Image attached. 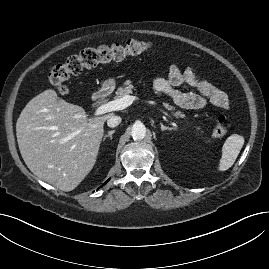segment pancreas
Returning a JSON list of instances; mask_svg holds the SVG:
<instances>
[{"mask_svg":"<svg viewBox=\"0 0 269 269\" xmlns=\"http://www.w3.org/2000/svg\"><path fill=\"white\" fill-rule=\"evenodd\" d=\"M134 90V86L132 85L131 81L127 80L126 82H124V85L119 87L117 92H116V97L117 98H122L125 95H129L132 94ZM164 107L168 110H170L173 114V116H175L176 118H185V114L181 111H175V107L170 105L169 103H163ZM200 127H196V130H199ZM203 133V131L201 132Z\"/></svg>","mask_w":269,"mask_h":269,"instance_id":"obj_1","label":"pancreas"}]
</instances>
